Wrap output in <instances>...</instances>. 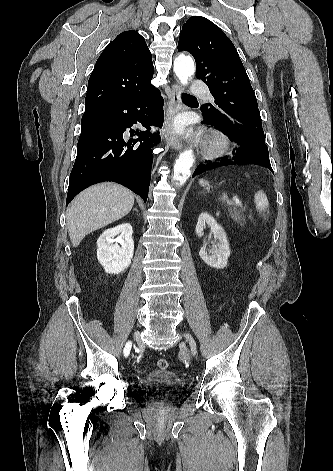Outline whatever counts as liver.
Returning <instances> with one entry per match:
<instances>
[{
	"label": "liver",
	"mask_w": 333,
	"mask_h": 471,
	"mask_svg": "<svg viewBox=\"0 0 333 471\" xmlns=\"http://www.w3.org/2000/svg\"><path fill=\"white\" fill-rule=\"evenodd\" d=\"M134 205V194L116 183H100L81 192L67 213V228L73 247L100 228L126 216Z\"/></svg>",
	"instance_id": "liver-1"
}]
</instances>
